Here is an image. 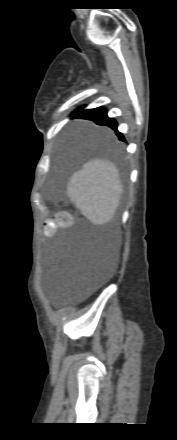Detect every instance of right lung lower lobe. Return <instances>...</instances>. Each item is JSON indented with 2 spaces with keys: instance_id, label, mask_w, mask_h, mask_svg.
<instances>
[{
  "instance_id": "obj_1",
  "label": "right lung lower lobe",
  "mask_w": 177,
  "mask_h": 440,
  "mask_svg": "<svg viewBox=\"0 0 177 440\" xmlns=\"http://www.w3.org/2000/svg\"><path fill=\"white\" fill-rule=\"evenodd\" d=\"M74 117L92 120L98 125L108 126L115 130L117 129V122L113 118H109L107 116V111L102 107L79 112L75 114ZM116 134L119 137V140L125 141L123 135L117 130Z\"/></svg>"
}]
</instances>
